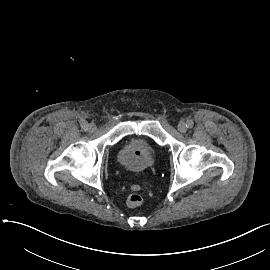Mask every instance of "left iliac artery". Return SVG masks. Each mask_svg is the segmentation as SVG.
Returning <instances> with one entry per match:
<instances>
[{
	"label": "left iliac artery",
	"instance_id": "left-iliac-artery-1",
	"mask_svg": "<svg viewBox=\"0 0 270 270\" xmlns=\"http://www.w3.org/2000/svg\"><path fill=\"white\" fill-rule=\"evenodd\" d=\"M193 125H194V122L192 120H187V122H186L187 128H192Z\"/></svg>",
	"mask_w": 270,
	"mask_h": 270
}]
</instances>
